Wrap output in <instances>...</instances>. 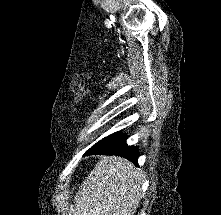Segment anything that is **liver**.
Listing matches in <instances>:
<instances>
[{"mask_svg":"<svg viewBox=\"0 0 221 215\" xmlns=\"http://www.w3.org/2000/svg\"><path fill=\"white\" fill-rule=\"evenodd\" d=\"M142 178L127 159L103 156L82 182L70 215H134Z\"/></svg>","mask_w":221,"mask_h":215,"instance_id":"6515ba94","label":"liver"}]
</instances>
